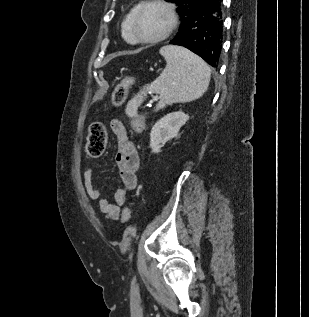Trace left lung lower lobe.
I'll return each mask as SVG.
<instances>
[{"label": "left lung lower lobe", "instance_id": "obj_1", "mask_svg": "<svg viewBox=\"0 0 309 317\" xmlns=\"http://www.w3.org/2000/svg\"><path fill=\"white\" fill-rule=\"evenodd\" d=\"M224 18L222 0H206L196 8L169 43L188 48L217 68L222 51Z\"/></svg>", "mask_w": 309, "mask_h": 317}]
</instances>
